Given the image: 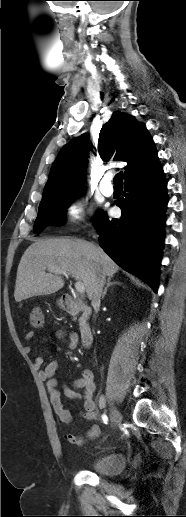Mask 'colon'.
<instances>
[{
    "label": "colon",
    "mask_w": 186,
    "mask_h": 517,
    "mask_svg": "<svg viewBox=\"0 0 186 517\" xmlns=\"http://www.w3.org/2000/svg\"><path fill=\"white\" fill-rule=\"evenodd\" d=\"M29 323L32 328H42L44 325V314L41 309L33 308L29 314Z\"/></svg>",
    "instance_id": "colon-1"
}]
</instances>
